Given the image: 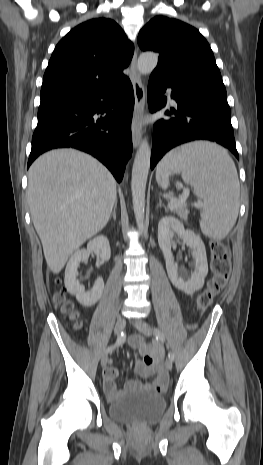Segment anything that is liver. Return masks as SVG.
I'll return each instance as SVG.
<instances>
[{"label":"liver","instance_id":"liver-1","mask_svg":"<svg viewBox=\"0 0 263 465\" xmlns=\"http://www.w3.org/2000/svg\"><path fill=\"white\" fill-rule=\"evenodd\" d=\"M27 198L47 266L58 274L106 226L117 200L116 181L92 156L57 149L29 168Z\"/></svg>","mask_w":263,"mask_h":465}]
</instances>
